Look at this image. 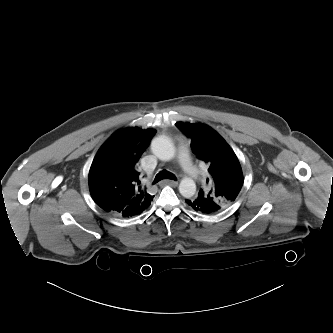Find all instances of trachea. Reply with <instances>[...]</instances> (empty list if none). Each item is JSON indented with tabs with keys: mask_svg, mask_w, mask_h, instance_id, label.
Masks as SVG:
<instances>
[{
	"mask_svg": "<svg viewBox=\"0 0 333 333\" xmlns=\"http://www.w3.org/2000/svg\"><path fill=\"white\" fill-rule=\"evenodd\" d=\"M163 179H171V180H175L176 181V177L173 173L167 171V170H163V171H160L155 179H154V183H157Z\"/></svg>",
	"mask_w": 333,
	"mask_h": 333,
	"instance_id": "obj_1",
	"label": "trachea"
}]
</instances>
